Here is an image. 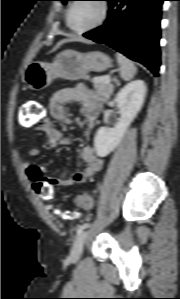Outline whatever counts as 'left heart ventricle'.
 Returning a JSON list of instances; mask_svg holds the SVG:
<instances>
[{"instance_id":"obj_1","label":"left heart ventricle","mask_w":180,"mask_h":299,"mask_svg":"<svg viewBox=\"0 0 180 299\" xmlns=\"http://www.w3.org/2000/svg\"><path fill=\"white\" fill-rule=\"evenodd\" d=\"M100 16V6L94 1L75 3L70 14V23L76 29L86 28L95 23Z\"/></svg>"}]
</instances>
